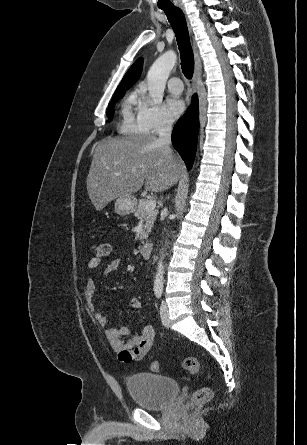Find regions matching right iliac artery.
<instances>
[{"label": "right iliac artery", "instance_id": "82829eb1", "mask_svg": "<svg viewBox=\"0 0 307 445\" xmlns=\"http://www.w3.org/2000/svg\"><path fill=\"white\" fill-rule=\"evenodd\" d=\"M155 295H156L157 298H161V296H162V291H161V290H156V291H155Z\"/></svg>", "mask_w": 307, "mask_h": 445}]
</instances>
